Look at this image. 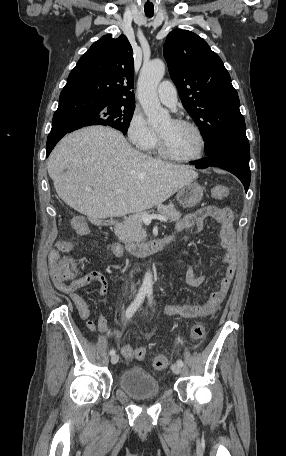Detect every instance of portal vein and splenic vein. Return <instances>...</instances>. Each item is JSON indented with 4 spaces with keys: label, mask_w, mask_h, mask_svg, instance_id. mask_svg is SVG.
Wrapping results in <instances>:
<instances>
[{
    "label": "portal vein and splenic vein",
    "mask_w": 286,
    "mask_h": 456,
    "mask_svg": "<svg viewBox=\"0 0 286 456\" xmlns=\"http://www.w3.org/2000/svg\"><path fill=\"white\" fill-rule=\"evenodd\" d=\"M87 191H91V188H87ZM152 219H157V220H160V221L167 222V218H165V217L162 216V215H155V214H152V215L143 214V215H142V220H143L145 223H150Z\"/></svg>",
    "instance_id": "obj_1"
}]
</instances>
